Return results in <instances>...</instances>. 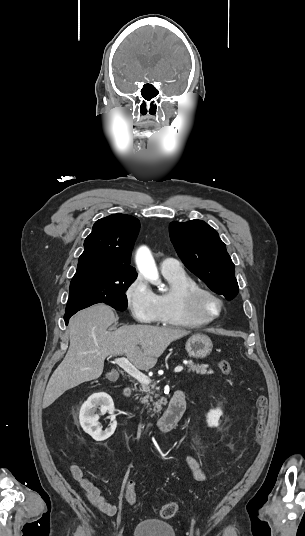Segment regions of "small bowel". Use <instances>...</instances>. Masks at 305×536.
I'll return each instance as SVG.
<instances>
[{
    "label": "small bowel",
    "mask_w": 305,
    "mask_h": 536,
    "mask_svg": "<svg viewBox=\"0 0 305 536\" xmlns=\"http://www.w3.org/2000/svg\"><path fill=\"white\" fill-rule=\"evenodd\" d=\"M185 462L193 476L197 481H204L205 474L201 470L197 460L192 455H185ZM72 477L79 483L83 489L89 503L99 512L106 516H114L117 513L116 505L102 495L99 487L87 476H85L76 464L69 466Z\"/></svg>",
    "instance_id": "obj_1"
}]
</instances>
